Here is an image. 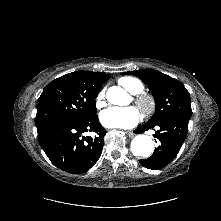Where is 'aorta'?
<instances>
[{
  "instance_id": "1",
  "label": "aorta",
  "mask_w": 221,
  "mask_h": 221,
  "mask_svg": "<svg viewBox=\"0 0 221 221\" xmlns=\"http://www.w3.org/2000/svg\"><path fill=\"white\" fill-rule=\"evenodd\" d=\"M127 93L118 86L110 87L106 93L107 100L114 105H124ZM154 142L147 135H137L131 142L132 154L136 157L147 158L153 152Z\"/></svg>"
}]
</instances>
